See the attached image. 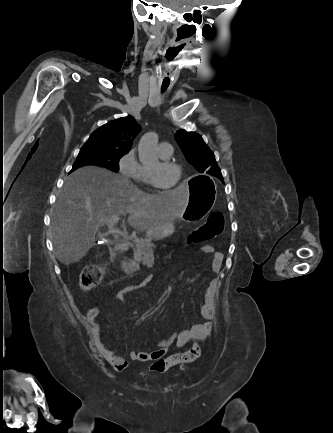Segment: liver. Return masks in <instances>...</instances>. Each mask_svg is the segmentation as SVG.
Instances as JSON below:
<instances>
[{
    "instance_id": "6515ba94",
    "label": "liver",
    "mask_w": 333,
    "mask_h": 433,
    "mask_svg": "<svg viewBox=\"0 0 333 433\" xmlns=\"http://www.w3.org/2000/svg\"><path fill=\"white\" fill-rule=\"evenodd\" d=\"M180 192L150 195L126 177L110 170L85 166L65 180L51 219L54 251L63 264L80 261L95 243L106 220L129 213L128 224L147 234L156 233L183 214L189 200L183 184ZM122 228L126 230L125 221ZM101 236V234L99 235Z\"/></svg>"
}]
</instances>
